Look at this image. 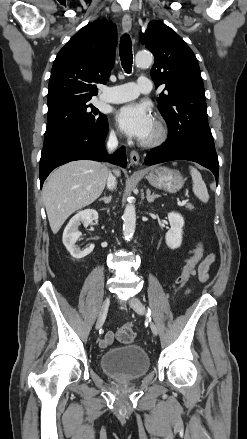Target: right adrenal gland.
I'll return each mask as SVG.
<instances>
[{
    "label": "right adrenal gland",
    "mask_w": 247,
    "mask_h": 439,
    "mask_svg": "<svg viewBox=\"0 0 247 439\" xmlns=\"http://www.w3.org/2000/svg\"><path fill=\"white\" fill-rule=\"evenodd\" d=\"M99 201H104L105 204H109L111 201V195L108 197L100 198Z\"/></svg>",
    "instance_id": "right-adrenal-gland-1"
}]
</instances>
